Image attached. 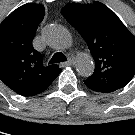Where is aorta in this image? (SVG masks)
Listing matches in <instances>:
<instances>
[{
  "instance_id": "obj_1",
  "label": "aorta",
  "mask_w": 135,
  "mask_h": 135,
  "mask_svg": "<svg viewBox=\"0 0 135 135\" xmlns=\"http://www.w3.org/2000/svg\"><path fill=\"white\" fill-rule=\"evenodd\" d=\"M43 37L46 43L56 50H65L72 44L70 32L61 25H50L46 28ZM75 66L78 73L84 77L90 76L94 71L93 61L87 54H77Z\"/></svg>"
}]
</instances>
